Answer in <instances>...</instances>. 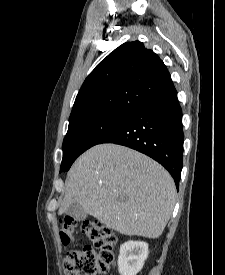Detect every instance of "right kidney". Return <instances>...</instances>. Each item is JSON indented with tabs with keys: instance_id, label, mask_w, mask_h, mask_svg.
Wrapping results in <instances>:
<instances>
[{
	"instance_id": "right-kidney-1",
	"label": "right kidney",
	"mask_w": 225,
	"mask_h": 275,
	"mask_svg": "<svg viewBox=\"0 0 225 275\" xmlns=\"http://www.w3.org/2000/svg\"><path fill=\"white\" fill-rule=\"evenodd\" d=\"M148 244L142 241H127L120 247L118 271L120 275H136L148 257Z\"/></svg>"
}]
</instances>
